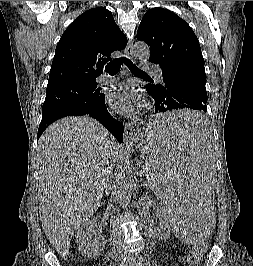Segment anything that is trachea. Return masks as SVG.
<instances>
[{
    "instance_id": "1",
    "label": "trachea",
    "mask_w": 253,
    "mask_h": 266,
    "mask_svg": "<svg viewBox=\"0 0 253 266\" xmlns=\"http://www.w3.org/2000/svg\"><path fill=\"white\" fill-rule=\"evenodd\" d=\"M125 63V65L130 69V71L134 74L146 75L145 72L137 68L128 58L120 57L109 63L105 66V71L109 74H116L119 72L121 65Z\"/></svg>"
}]
</instances>
